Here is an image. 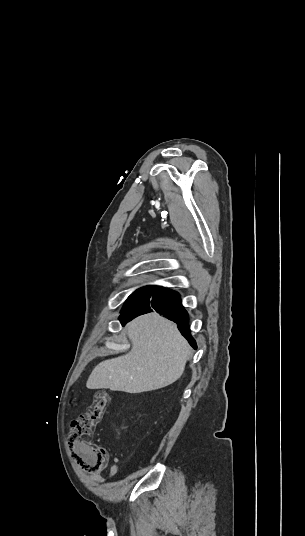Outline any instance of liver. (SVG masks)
Segmentation results:
<instances>
[{
	"instance_id": "obj_1",
	"label": "liver",
	"mask_w": 305,
	"mask_h": 536,
	"mask_svg": "<svg viewBox=\"0 0 305 536\" xmlns=\"http://www.w3.org/2000/svg\"><path fill=\"white\" fill-rule=\"evenodd\" d=\"M127 334L132 344L129 354L95 366L86 388L140 394L181 378L191 348L176 324L152 312L130 322Z\"/></svg>"
}]
</instances>
